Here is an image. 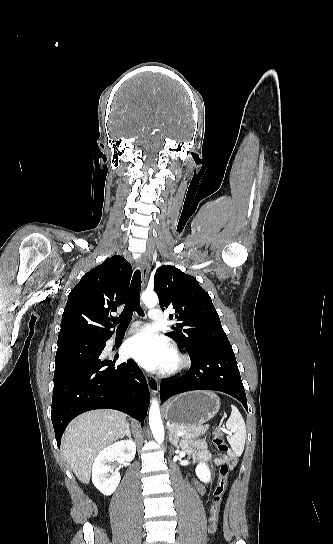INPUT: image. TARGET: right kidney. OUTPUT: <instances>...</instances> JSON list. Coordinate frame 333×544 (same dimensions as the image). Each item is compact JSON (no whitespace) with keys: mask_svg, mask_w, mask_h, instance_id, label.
Listing matches in <instances>:
<instances>
[{"mask_svg":"<svg viewBox=\"0 0 333 544\" xmlns=\"http://www.w3.org/2000/svg\"><path fill=\"white\" fill-rule=\"evenodd\" d=\"M136 454V445L133 441L122 440L104 448L94 460L92 466V482L104 495H111L117 488L121 476L110 462H130ZM111 473V474H110Z\"/></svg>","mask_w":333,"mask_h":544,"instance_id":"obj_1","label":"right kidney"}]
</instances>
